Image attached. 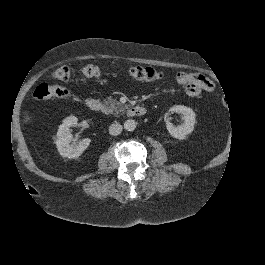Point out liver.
<instances>
[{
    "label": "liver",
    "instance_id": "6515ba94",
    "mask_svg": "<svg viewBox=\"0 0 265 265\" xmlns=\"http://www.w3.org/2000/svg\"><path fill=\"white\" fill-rule=\"evenodd\" d=\"M34 120V115L32 114H28V113H24L23 115V121L26 125H29L33 122Z\"/></svg>",
    "mask_w": 265,
    "mask_h": 265
}]
</instances>
